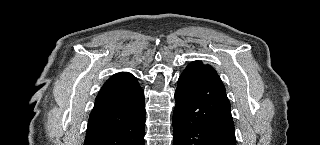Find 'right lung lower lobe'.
I'll use <instances>...</instances> for the list:
<instances>
[{
  "label": "right lung lower lobe",
  "instance_id": "obj_1",
  "mask_svg": "<svg viewBox=\"0 0 320 145\" xmlns=\"http://www.w3.org/2000/svg\"><path fill=\"white\" fill-rule=\"evenodd\" d=\"M101 91L89 117L84 145H144V92L137 79L121 77Z\"/></svg>",
  "mask_w": 320,
  "mask_h": 145
}]
</instances>
